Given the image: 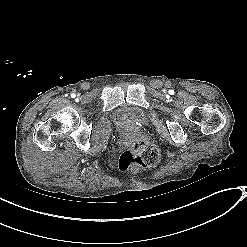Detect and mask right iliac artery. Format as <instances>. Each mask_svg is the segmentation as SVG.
Instances as JSON below:
<instances>
[{
  "label": "right iliac artery",
  "mask_w": 247,
  "mask_h": 247,
  "mask_svg": "<svg viewBox=\"0 0 247 247\" xmlns=\"http://www.w3.org/2000/svg\"><path fill=\"white\" fill-rule=\"evenodd\" d=\"M71 97L74 98L75 97V94H71Z\"/></svg>",
  "instance_id": "82829eb1"
}]
</instances>
